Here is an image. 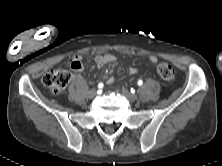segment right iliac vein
Returning a JSON list of instances; mask_svg holds the SVG:
<instances>
[{
  "label": "right iliac vein",
  "mask_w": 222,
  "mask_h": 166,
  "mask_svg": "<svg viewBox=\"0 0 222 166\" xmlns=\"http://www.w3.org/2000/svg\"><path fill=\"white\" fill-rule=\"evenodd\" d=\"M96 95H97V92H96L95 89H91V90H89L88 93H87V96H88L89 98H94Z\"/></svg>",
  "instance_id": "1"
}]
</instances>
